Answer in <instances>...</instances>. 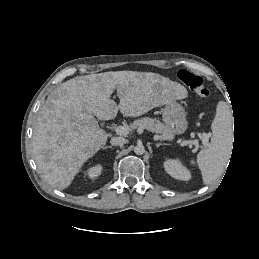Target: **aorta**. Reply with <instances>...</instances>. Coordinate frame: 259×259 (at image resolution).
I'll return each mask as SVG.
<instances>
[{"label":"aorta","instance_id":"aorta-1","mask_svg":"<svg viewBox=\"0 0 259 259\" xmlns=\"http://www.w3.org/2000/svg\"><path fill=\"white\" fill-rule=\"evenodd\" d=\"M134 152L137 155H143L144 152H145V148H144L143 145H137V146L134 147Z\"/></svg>","mask_w":259,"mask_h":259}]
</instances>
